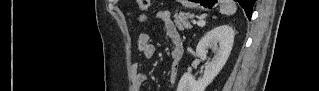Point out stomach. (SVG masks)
Masks as SVG:
<instances>
[{
    "instance_id": "1",
    "label": "stomach",
    "mask_w": 319,
    "mask_h": 91,
    "mask_svg": "<svg viewBox=\"0 0 319 91\" xmlns=\"http://www.w3.org/2000/svg\"><path fill=\"white\" fill-rule=\"evenodd\" d=\"M190 8H200L202 10H211L215 7L217 0H202L185 2Z\"/></svg>"
}]
</instances>
